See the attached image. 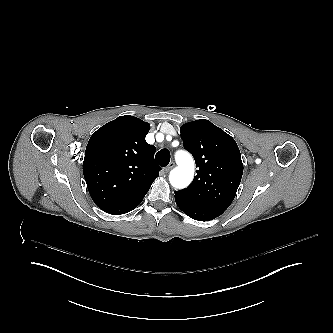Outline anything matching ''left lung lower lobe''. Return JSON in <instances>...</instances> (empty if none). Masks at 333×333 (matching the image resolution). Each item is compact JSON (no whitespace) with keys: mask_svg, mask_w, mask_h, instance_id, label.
<instances>
[{"mask_svg":"<svg viewBox=\"0 0 333 333\" xmlns=\"http://www.w3.org/2000/svg\"><path fill=\"white\" fill-rule=\"evenodd\" d=\"M175 201L177 206L189 217L198 220V221H209L218 216H220L223 212L218 210H212L208 208H203L200 206H196L190 202L182 200L180 198L175 197Z\"/></svg>","mask_w":333,"mask_h":333,"instance_id":"1","label":"left lung lower lobe"}]
</instances>
